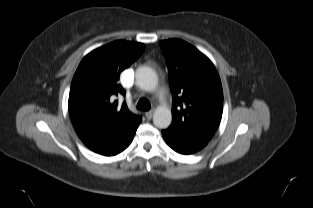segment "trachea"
Masks as SVG:
<instances>
[{
  "instance_id": "obj_1",
  "label": "trachea",
  "mask_w": 313,
  "mask_h": 208,
  "mask_svg": "<svg viewBox=\"0 0 313 208\" xmlns=\"http://www.w3.org/2000/svg\"><path fill=\"white\" fill-rule=\"evenodd\" d=\"M150 107H151L150 102L147 99H140L137 104V108L140 110L148 111Z\"/></svg>"
}]
</instances>
